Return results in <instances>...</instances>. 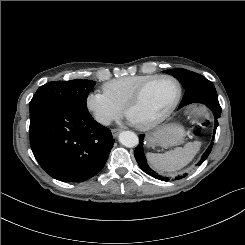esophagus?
Listing matches in <instances>:
<instances>
[{
	"mask_svg": "<svg viewBox=\"0 0 245 245\" xmlns=\"http://www.w3.org/2000/svg\"><path fill=\"white\" fill-rule=\"evenodd\" d=\"M120 129H112L111 130V132H112V135L114 136V137H117L118 136V134L120 133Z\"/></svg>",
	"mask_w": 245,
	"mask_h": 245,
	"instance_id": "obj_1",
	"label": "esophagus"
}]
</instances>
